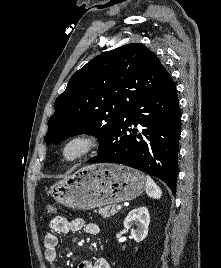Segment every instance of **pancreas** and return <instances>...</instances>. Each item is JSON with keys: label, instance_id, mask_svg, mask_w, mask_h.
<instances>
[{"label": "pancreas", "instance_id": "1", "mask_svg": "<svg viewBox=\"0 0 221 268\" xmlns=\"http://www.w3.org/2000/svg\"><path fill=\"white\" fill-rule=\"evenodd\" d=\"M98 212L103 218H109L110 216H113L117 213L116 205H108L106 207H101L99 208Z\"/></svg>", "mask_w": 221, "mask_h": 268}]
</instances>
